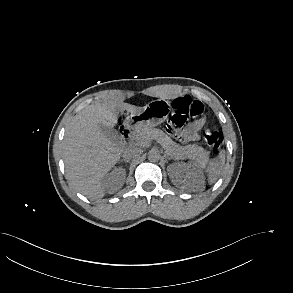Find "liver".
I'll use <instances>...</instances> for the list:
<instances>
[{
    "label": "liver",
    "mask_w": 293,
    "mask_h": 293,
    "mask_svg": "<svg viewBox=\"0 0 293 293\" xmlns=\"http://www.w3.org/2000/svg\"><path fill=\"white\" fill-rule=\"evenodd\" d=\"M121 101L94 103L78 113L66 129L63 159L70 185L91 199L105 194L102 180L119 161L122 147L104 135L99 126L114 127L126 110L131 115L142 111Z\"/></svg>",
    "instance_id": "obj_1"
}]
</instances>
